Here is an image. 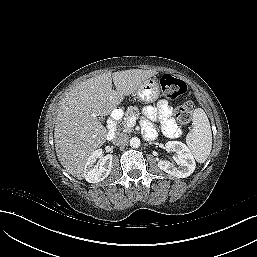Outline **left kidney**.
Segmentation results:
<instances>
[{"mask_svg":"<svg viewBox=\"0 0 257 257\" xmlns=\"http://www.w3.org/2000/svg\"><path fill=\"white\" fill-rule=\"evenodd\" d=\"M165 149L175 154L173 156V162L167 160H160L158 162V167L161 170L177 178L188 177L194 172L196 166L194 157L184 143L180 141H168L165 144Z\"/></svg>","mask_w":257,"mask_h":257,"instance_id":"5707ae66","label":"left kidney"}]
</instances>
